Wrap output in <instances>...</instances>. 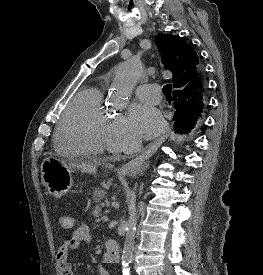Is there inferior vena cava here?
<instances>
[{
	"instance_id": "obj_1",
	"label": "inferior vena cava",
	"mask_w": 263,
	"mask_h": 275,
	"mask_svg": "<svg viewBox=\"0 0 263 275\" xmlns=\"http://www.w3.org/2000/svg\"><path fill=\"white\" fill-rule=\"evenodd\" d=\"M141 147V145H140V143H139V145H138V149Z\"/></svg>"
}]
</instances>
